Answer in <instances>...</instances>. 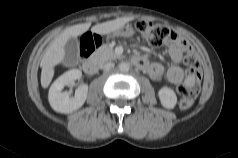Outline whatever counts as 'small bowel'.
<instances>
[{
	"mask_svg": "<svg viewBox=\"0 0 238 158\" xmlns=\"http://www.w3.org/2000/svg\"><path fill=\"white\" fill-rule=\"evenodd\" d=\"M165 45L172 60V65L165 70L164 66L160 63H147L146 69L149 75L154 79H159L163 75H166L169 82L180 84L184 78V72L180 67V63L188 48V44L185 39L175 35L172 39L167 40Z\"/></svg>",
	"mask_w": 238,
	"mask_h": 158,
	"instance_id": "1",
	"label": "small bowel"
}]
</instances>
